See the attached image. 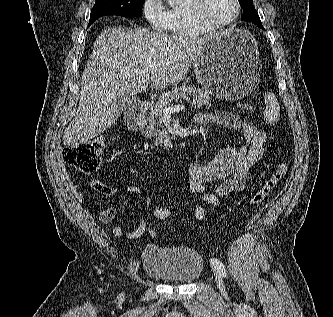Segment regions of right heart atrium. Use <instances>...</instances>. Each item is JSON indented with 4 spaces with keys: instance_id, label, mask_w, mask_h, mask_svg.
Here are the masks:
<instances>
[{
    "instance_id": "obj_1",
    "label": "right heart atrium",
    "mask_w": 333,
    "mask_h": 317,
    "mask_svg": "<svg viewBox=\"0 0 333 317\" xmlns=\"http://www.w3.org/2000/svg\"><path fill=\"white\" fill-rule=\"evenodd\" d=\"M142 13L155 31H164L167 28V10L161 0H143Z\"/></svg>"
}]
</instances>
